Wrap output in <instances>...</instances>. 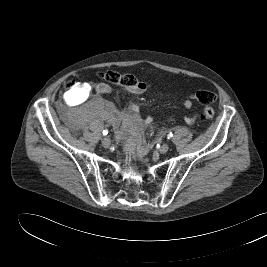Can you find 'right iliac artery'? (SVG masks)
I'll use <instances>...</instances> for the list:
<instances>
[{"mask_svg": "<svg viewBox=\"0 0 267 267\" xmlns=\"http://www.w3.org/2000/svg\"><path fill=\"white\" fill-rule=\"evenodd\" d=\"M103 134H104V135H107V134H108V130H104V131H103Z\"/></svg>", "mask_w": 267, "mask_h": 267, "instance_id": "right-iliac-artery-1", "label": "right iliac artery"}]
</instances>
